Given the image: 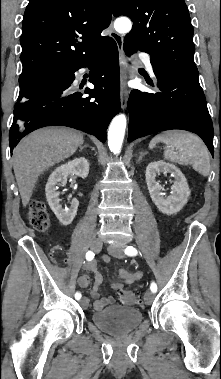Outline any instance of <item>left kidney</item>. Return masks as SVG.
<instances>
[{
	"label": "left kidney",
	"mask_w": 221,
	"mask_h": 379,
	"mask_svg": "<svg viewBox=\"0 0 221 379\" xmlns=\"http://www.w3.org/2000/svg\"><path fill=\"white\" fill-rule=\"evenodd\" d=\"M171 173L175 178L171 187V194L164 196L161 192L164 188L156 181L160 173ZM146 183L150 197L158 210L166 215L178 213L188 202L190 189L183 173L173 164L164 161H156L148 164L146 168Z\"/></svg>",
	"instance_id": "obj_1"
}]
</instances>
